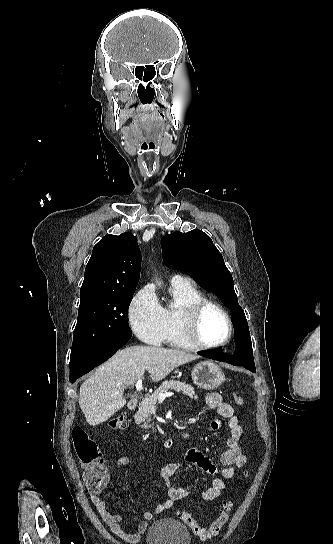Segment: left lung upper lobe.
<instances>
[{
    "mask_svg": "<svg viewBox=\"0 0 333 544\" xmlns=\"http://www.w3.org/2000/svg\"><path fill=\"white\" fill-rule=\"evenodd\" d=\"M161 245L166 265L189 273L201 287L217 294L230 308L233 324L241 323L246 327L249 341L247 320L238 304L232 275L210 237L200 230L175 232L165 235ZM239 359L254 362L250 343L247 350L239 355Z\"/></svg>",
    "mask_w": 333,
    "mask_h": 544,
    "instance_id": "5c2ea615",
    "label": "left lung upper lobe"
}]
</instances>
